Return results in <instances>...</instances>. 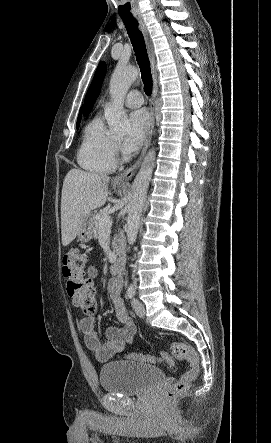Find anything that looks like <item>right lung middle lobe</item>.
Wrapping results in <instances>:
<instances>
[{
    "label": "right lung middle lobe",
    "mask_w": 271,
    "mask_h": 443,
    "mask_svg": "<svg viewBox=\"0 0 271 443\" xmlns=\"http://www.w3.org/2000/svg\"><path fill=\"white\" fill-rule=\"evenodd\" d=\"M79 122H80V120L77 121V127L79 126Z\"/></svg>",
    "instance_id": "right-lung-middle-lobe-1"
}]
</instances>
